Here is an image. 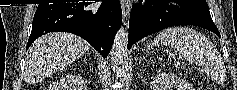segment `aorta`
Wrapping results in <instances>:
<instances>
[{"label": "aorta", "mask_w": 237, "mask_h": 90, "mask_svg": "<svg viewBox=\"0 0 237 90\" xmlns=\"http://www.w3.org/2000/svg\"><path fill=\"white\" fill-rule=\"evenodd\" d=\"M128 28L121 26L111 48L112 70L117 80H123L128 68Z\"/></svg>", "instance_id": "obj_1"}]
</instances>
